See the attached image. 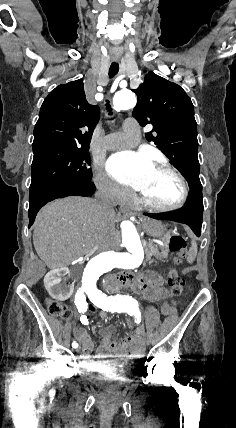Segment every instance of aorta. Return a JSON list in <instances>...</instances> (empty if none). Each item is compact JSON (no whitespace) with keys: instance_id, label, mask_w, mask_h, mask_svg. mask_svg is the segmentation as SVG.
<instances>
[{"instance_id":"aorta-1","label":"aorta","mask_w":236,"mask_h":428,"mask_svg":"<svg viewBox=\"0 0 236 428\" xmlns=\"http://www.w3.org/2000/svg\"><path fill=\"white\" fill-rule=\"evenodd\" d=\"M137 99L130 90L119 91L114 95L113 106L116 111L127 110L136 105ZM122 245L125 252L105 251L89 260L82 271L80 289L84 294L97 293L99 278L113 268L135 269L145 255L140 236L131 221L121 223Z\"/></svg>"}]
</instances>
